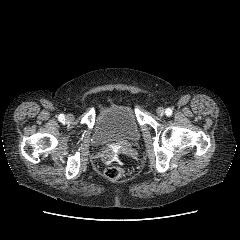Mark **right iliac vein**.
Returning <instances> with one entry per match:
<instances>
[{
	"mask_svg": "<svg viewBox=\"0 0 240 240\" xmlns=\"http://www.w3.org/2000/svg\"><path fill=\"white\" fill-rule=\"evenodd\" d=\"M73 119H74V117H73V115H71V114H68V115L66 116V122H72Z\"/></svg>",
	"mask_w": 240,
	"mask_h": 240,
	"instance_id": "right-iliac-vein-1",
	"label": "right iliac vein"
}]
</instances>
